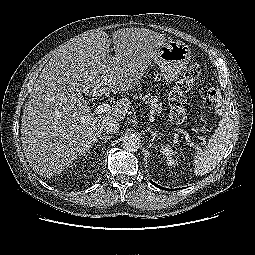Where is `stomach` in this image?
Listing matches in <instances>:
<instances>
[{
  "label": "stomach",
  "instance_id": "1",
  "mask_svg": "<svg viewBox=\"0 0 255 255\" xmlns=\"http://www.w3.org/2000/svg\"><path fill=\"white\" fill-rule=\"evenodd\" d=\"M191 58L190 48L181 41H166L154 61L158 64L165 82L176 79L187 67Z\"/></svg>",
  "mask_w": 255,
  "mask_h": 255
}]
</instances>
